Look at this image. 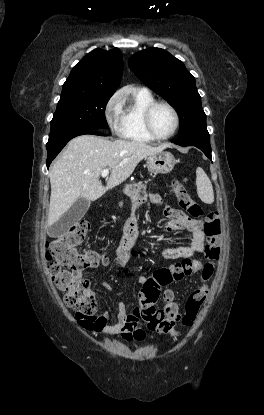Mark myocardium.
<instances>
[{"label":"myocardium","instance_id":"1","mask_svg":"<svg viewBox=\"0 0 264 415\" xmlns=\"http://www.w3.org/2000/svg\"><path fill=\"white\" fill-rule=\"evenodd\" d=\"M158 106H165L167 107L173 114L174 116V127L171 130L170 133L166 134V135H158L152 126V114L154 112V110L158 107ZM142 120H143V126L144 129L146 131V133L152 137L154 140H167L169 138H171L172 136H174L179 128V124H180V117L179 114L177 112V110L175 109L174 106H172L170 103L166 102V101H154L152 103H150L143 111L142 114Z\"/></svg>","mask_w":264,"mask_h":415}]
</instances>
